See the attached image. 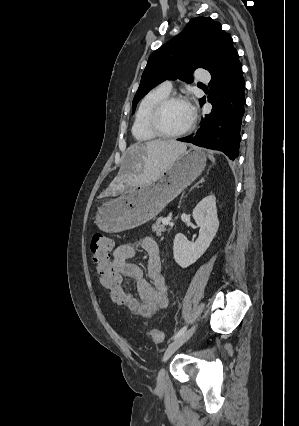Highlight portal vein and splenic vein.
<instances>
[{"label": "portal vein and splenic vein", "instance_id": "1", "mask_svg": "<svg viewBox=\"0 0 299 426\" xmlns=\"http://www.w3.org/2000/svg\"><path fill=\"white\" fill-rule=\"evenodd\" d=\"M170 220H171V215H170V216H168L167 218H164V219L162 220V223H163L164 225H168V224L170 223Z\"/></svg>", "mask_w": 299, "mask_h": 426}]
</instances>
